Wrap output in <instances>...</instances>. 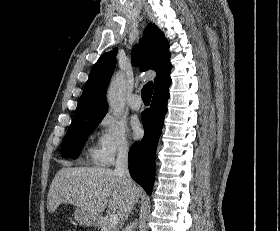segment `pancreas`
<instances>
[{
	"instance_id": "pancreas-1",
	"label": "pancreas",
	"mask_w": 280,
	"mask_h": 231,
	"mask_svg": "<svg viewBox=\"0 0 280 231\" xmlns=\"http://www.w3.org/2000/svg\"><path fill=\"white\" fill-rule=\"evenodd\" d=\"M101 227V231H119V225H116V223H109L107 217H102V219H99Z\"/></svg>"
}]
</instances>
